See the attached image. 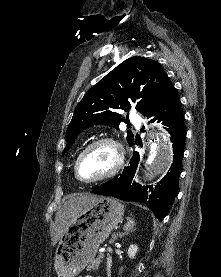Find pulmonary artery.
<instances>
[{
	"instance_id": "e3ab8cb5",
	"label": "pulmonary artery",
	"mask_w": 221,
	"mask_h": 277,
	"mask_svg": "<svg viewBox=\"0 0 221 277\" xmlns=\"http://www.w3.org/2000/svg\"><path fill=\"white\" fill-rule=\"evenodd\" d=\"M130 119L134 122L137 121V116L134 113H130Z\"/></svg>"
}]
</instances>
